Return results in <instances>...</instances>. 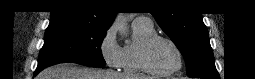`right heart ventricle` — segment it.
Wrapping results in <instances>:
<instances>
[{"label": "right heart ventricle", "mask_w": 255, "mask_h": 79, "mask_svg": "<svg viewBox=\"0 0 255 79\" xmlns=\"http://www.w3.org/2000/svg\"><path fill=\"white\" fill-rule=\"evenodd\" d=\"M133 40L122 48L121 67L123 72L130 75L145 73L139 61L142 44L154 34L153 26L132 24Z\"/></svg>", "instance_id": "1"}]
</instances>
